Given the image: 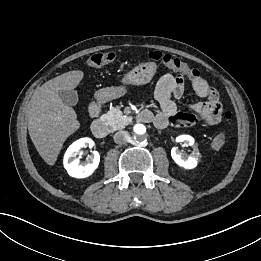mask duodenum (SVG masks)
Listing matches in <instances>:
<instances>
[{"instance_id": "410a0bca", "label": "duodenum", "mask_w": 261, "mask_h": 261, "mask_svg": "<svg viewBox=\"0 0 261 261\" xmlns=\"http://www.w3.org/2000/svg\"><path fill=\"white\" fill-rule=\"evenodd\" d=\"M89 113L91 117L94 118L91 125L92 134L98 139L105 138L108 134V127L106 123L99 118L100 104L93 102L89 107ZM137 118L141 122H150L152 120V113L148 110H142L138 113Z\"/></svg>"}]
</instances>
